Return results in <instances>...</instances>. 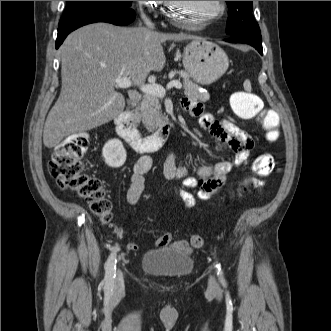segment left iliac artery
<instances>
[{"label": "left iliac artery", "mask_w": 331, "mask_h": 331, "mask_svg": "<svg viewBox=\"0 0 331 331\" xmlns=\"http://www.w3.org/2000/svg\"><path fill=\"white\" fill-rule=\"evenodd\" d=\"M216 267L218 268V275H221L222 276V271L219 267V265H216ZM222 282L224 283V280L222 279Z\"/></svg>", "instance_id": "left-iliac-artery-1"}]
</instances>
